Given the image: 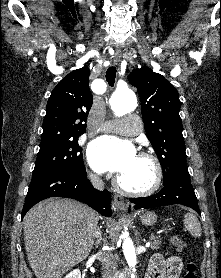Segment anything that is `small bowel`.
<instances>
[{"label":"small bowel","instance_id":"c3829d8e","mask_svg":"<svg viewBox=\"0 0 221 278\" xmlns=\"http://www.w3.org/2000/svg\"><path fill=\"white\" fill-rule=\"evenodd\" d=\"M182 267V260L178 256L156 254L150 261L145 278H179Z\"/></svg>","mask_w":221,"mask_h":278}]
</instances>
